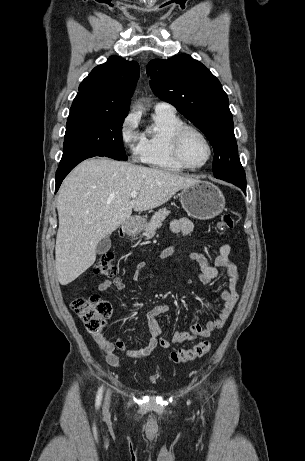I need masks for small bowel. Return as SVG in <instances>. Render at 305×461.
<instances>
[{"mask_svg":"<svg viewBox=\"0 0 305 461\" xmlns=\"http://www.w3.org/2000/svg\"><path fill=\"white\" fill-rule=\"evenodd\" d=\"M194 229L193 223L186 218L175 219L171 222V230L174 233L188 234ZM180 254L195 261L200 268L199 279L204 285H209L220 273H224L227 277V284L222 289L220 297L222 305L218 315L213 320L207 321L204 325L194 324L189 331L175 332L171 340L162 336V328L158 322V318L169 311L167 304H158L147 312V324L149 330L148 344L137 350H128L126 342L122 338L110 340L104 333L94 335V339L100 349L103 351L106 362L112 367H120L121 362L115 351L125 352L128 356H148L156 347L169 348L171 344H183L192 342L199 338L209 337L212 332L220 329L230 317L234 307L238 301L239 293L237 287L239 284V273L237 267L230 261L231 246L223 244L218 251V254L211 262L205 255L197 252H188L181 248L173 246L166 247L162 250L160 257L168 258L173 254ZM146 267L145 262H139L133 273V280L137 281L140 278L142 270ZM112 286L123 291L126 289V283L121 278L114 280H104L99 284L100 293L108 291Z\"/></svg>","mask_w":305,"mask_h":461,"instance_id":"obj_1","label":"small bowel"}]
</instances>
